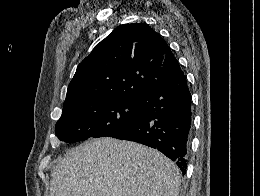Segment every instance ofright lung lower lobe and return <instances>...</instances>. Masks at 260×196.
Here are the masks:
<instances>
[{"mask_svg": "<svg viewBox=\"0 0 260 196\" xmlns=\"http://www.w3.org/2000/svg\"><path fill=\"white\" fill-rule=\"evenodd\" d=\"M145 118L110 137L158 149L186 173L192 128V97L183 74L138 99Z\"/></svg>", "mask_w": 260, "mask_h": 196, "instance_id": "98d812e1", "label": "right lung lower lobe"}]
</instances>
